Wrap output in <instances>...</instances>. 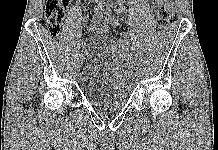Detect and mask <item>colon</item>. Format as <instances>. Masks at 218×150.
<instances>
[{
    "label": "colon",
    "instance_id": "obj_1",
    "mask_svg": "<svg viewBox=\"0 0 218 150\" xmlns=\"http://www.w3.org/2000/svg\"><path fill=\"white\" fill-rule=\"evenodd\" d=\"M70 0H47L45 4V19L48 30L53 36H58L61 31V24L64 14L69 6ZM171 20V11L167 7H161L157 12L156 23L159 28L166 27ZM98 33H107L108 27L103 23L95 26Z\"/></svg>",
    "mask_w": 218,
    "mask_h": 150
}]
</instances>
